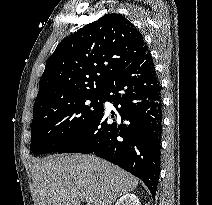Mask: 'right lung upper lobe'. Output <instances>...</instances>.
Segmentation results:
<instances>
[{"label": "right lung upper lobe", "mask_w": 212, "mask_h": 205, "mask_svg": "<svg viewBox=\"0 0 212 205\" xmlns=\"http://www.w3.org/2000/svg\"><path fill=\"white\" fill-rule=\"evenodd\" d=\"M148 52L141 33L120 14H106L63 39L47 60L34 113L93 94Z\"/></svg>", "instance_id": "1"}]
</instances>
